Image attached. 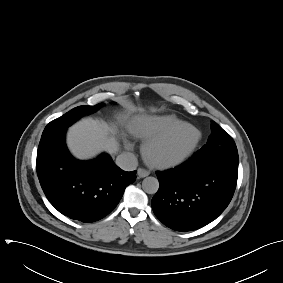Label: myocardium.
<instances>
[{
  "label": "myocardium",
  "mask_w": 283,
  "mask_h": 283,
  "mask_svg": "<svg viewBox=\"0 0 283 283\" xmlns=\"http://www.w3.org/2000/svg\"><path fill=\"white\" fill-rule=\"evenodd\" d=\"M183 128H190L195 133L194 140L189 147L175 157L159 156L157 154V150L170 141V139ZM201 138L202 134L196 126L187 122H183L161 136L147 140L143 145L142 153L146 161L154 167L161 169L174 168L183 164L193 155L201 142Z\"/></svg>",
  "instance_id": "f54148a6"
}]
</instances>
